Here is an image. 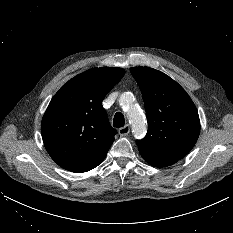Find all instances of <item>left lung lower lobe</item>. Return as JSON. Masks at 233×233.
<instances>
[{
	"label": "left lung lower lobe",
	"mask_w": 233,
	"mask_h": 233,
	"mask_svg": "<svg viewBox=\"0 0 233 233\" xmlns=\"http://www.w3.org/2000/svg\"><path fill=\"white\" fill-rule=\"evenodd\" d=\"M139 152L142 155V157L146 160V162H148L149 164H151L155 167H166V166L172 165V164L177 162L175 160H170V159H165V158H161V157H155L152 155H147L141 151H139Z\"/></svg>",
	"instance_id": "obj_1"
}]
</instances>
